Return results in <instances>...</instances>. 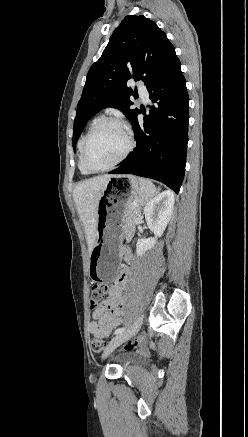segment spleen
Wrapping results in <instances>:
<instances>
[{"label": "spleen", "mask_w": 248, "mask_h": 437, "mask_svg": "<svg viewBox=\"0 0 248 437\" xmlns=\"http://www.w3.org/2000/svg\"><path fill=\"white\" fill-rule=\"evenodd\" d=\"M139 183L142 188V194L140 195V203L147 204L155 195L156 188L150 180L145 178H139Z\"/></svg>", "instance_id": "obj_1"}]
</instances>
